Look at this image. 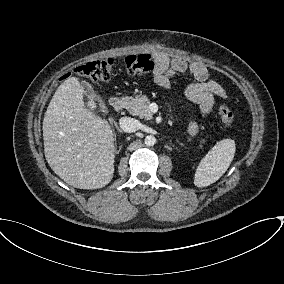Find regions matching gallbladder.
Returning <instances> with one entry per match:
<instances>
[{
  "label": "gallbladder",
  "mask_w": 284,
  "mask_h": 284,
  "mask_svg": "<svg viewBox=\"0 0 284 284\" xmlns=\"http://www.w3.org/2000/svg\"><path fill=\"white\" fill-rule=\"evenodd\" d=\"M83 88H84V90H85V92L92 98V99H94L97 103H98V105L100 106V108H102V109H104V101L102 100V98L99 96V95H97L95 92H94V90H93V88L91 87V85L90 84H88V83H84L83 84Z\"/></svg>",
  "instance_id": "bac80fb5"
}]
</instances>
